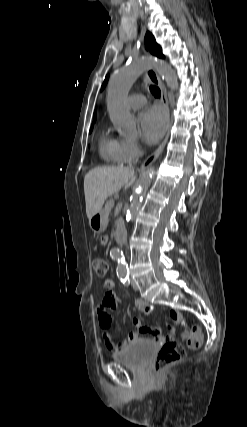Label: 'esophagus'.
I'll list each match as a JSON object with an SVG mask.
<instances>
[{
	"label": "esophagus",
	"instance_id": "1",
	"mask_svg": "<svg viewBox=\"0 0 247 427\" xmlns=\"http://www.w3.org/2000/svg\"><path fill=\"white\" fill-rule=\"evenodd\" d=\"M147 76L150 79V81L155 84L156 86H158L160 88L161 91V103L163 104L164 108L166 109L168 116H169V121H168V128H167V134L164 138V140L162 141V143L159 145V147L150 155L148 156L142 163L141 168H146L148 166H150L158 157L159 155L162 153L168 138H169V131H170V127H171V121H170V109H169V103H168V97H167V90L165 85L163 84V82L161 81L159 75L157 74L156 70L154 67H148L147 68Z\"/></svg>",
	"mask_w": 247,
	"mask_h": 427
}]
</instances>
